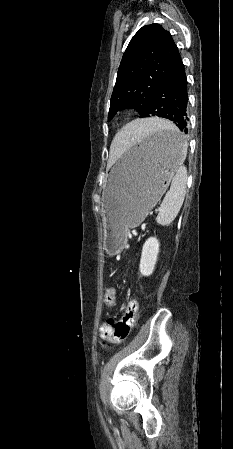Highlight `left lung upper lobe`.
I'll list each match as a JSON object with an SVG mask.
<instances>
[{
  "mask_svg": "<svg viewBox=\"0 0 233 449\" xmlns=\"http://www.w3.org/2000/svg\"><path fill=\"white\" fill-rule=\"evenodd\" d=\"M180 61L171 34L161 25L140 28L123 54L110 99L108 121L118 110L131 107L144 117L154 92Z\"/></svg>",
  "mask_w": 233,
  "mask_h": 449,
  "instance_id": "5c2ea615",
  "label": "left lung upper lobe"
}]
</instances>
